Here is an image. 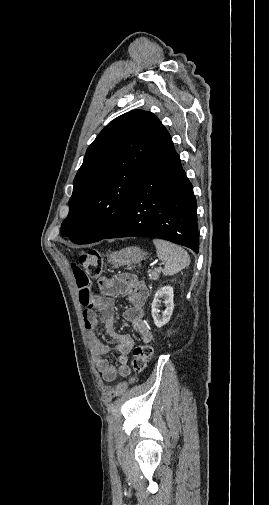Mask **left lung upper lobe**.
Masks as SVG:
<instances>
[{
    "mask_svg": "<svg viewBox=\"0 0 269 505\" xmlns=\"http://www.w3.org/2000/svg\"><path fill=\"white\" fill-rule=\"evenodd\" d=\"M161 128L151 112L133 110L98 134L73 181L62 236L87 244L102 240L115 228Z\"/></svg>",
    "mask_w": 269,
    "mask_h": 505,
    "instance_id": "1",
    "label": "left lung upper lobe"
}]
</instances>
